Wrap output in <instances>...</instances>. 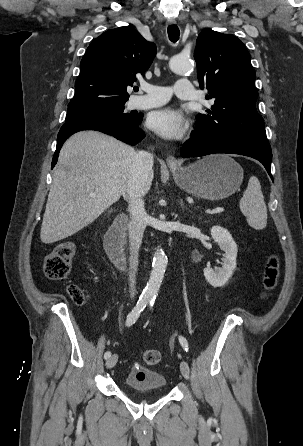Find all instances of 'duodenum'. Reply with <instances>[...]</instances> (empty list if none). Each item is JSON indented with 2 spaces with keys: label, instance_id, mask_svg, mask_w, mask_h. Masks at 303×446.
Wrapping results in <instances>:
<instances>
[{
  "label": "duodenum",
  "instance_id": "obj_1",
  "mask_svg": "<svg viewBox=\"0 0 303 446\" xmlns=\"http://www.w3.org/2000/svg\"><path fill=\"white\" fill-rule=\"evenodd\" d=\"M127 222L128 218L125 214L119 215L107 231L104 239L107 254L119 266L125 264L123 244Z\"/></svg>",
  "mask_w": 303,
  "mask_h": 446
}]
</instances>
